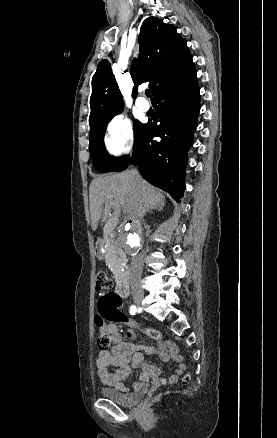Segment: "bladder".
I'll use <instances>...</instances> for the list:
<instances>
[{
    "label": "bladder",
    "mask_w": 277,
    "mask_h": 438,
    "mask_svg": "<svg viewBox=\"0 0 277 438\" xmlns=\"http://www.w3.org/2000/svg\"><path fill=\"white\" fill-rule=\"evenodd\" d=\"M99 395L106 401L121 406H133L141 401V396L136 392L125 393L119 388L105 387L99 390Z\"/></svg>",
    "instance_id": "1"
}]
</instances>
